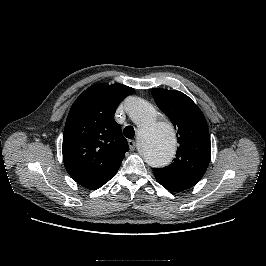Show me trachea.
Here are the masks:
<instances>
[{
    "label": "trachea",
    "mask_w": 266,
    "mask_h": 266,
    "mask_svg": "<svg viewBox=\"0 0 266 266\" xmlns=\"http://www.w3.org/2000/svg\"><path fill=\"white\" fill-rule=\"evenodd\" d=\"M135 135V130L132 126H126L124 129V136L126 138H133Z\"/></svg>",
    "instance_id": "trachea-1"
}]
</instances>
